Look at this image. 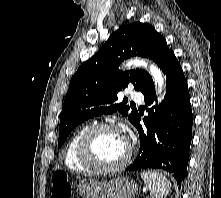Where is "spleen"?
<instances>
[{
    "instance_id": "3e777b00",
    "label": "spleen",
    "mask_w": 221,
    "mask_h": 198,
    "mask_svg": "<svg viewBox=\"0 0 221 198\" xmlns=\"http://www.w3.org/2000/svg\"><path fill=\"white\" fill-rule=\"evenodd\" d=\"M140 175L152 198H165L168 195L171 183L162 173L142 171Z\"/></svg>"
}]
</instances>
